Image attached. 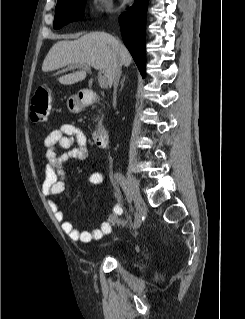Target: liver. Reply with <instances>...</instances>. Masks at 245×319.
<instances>
[{"label":"liver","instance_id":"liver-1","mask_svg":"<svg viewBox=\"0 0 245 319\" xmlns=\"http://www.w3.org/2000/svg\"><path fill=\"white\" fill-rule=\"evenodd\" d=\"M132 62L127 48L110 34L88 33L74 41H58L46 55L42 70L51 72L67 65L92 66L99 69L112 84L113 73L120 63L128 67ZM86 71H76L58 78L63 85H72L84 80Z\"/></svg>","mask_w":245,"mask_h":319}]
</instances>
